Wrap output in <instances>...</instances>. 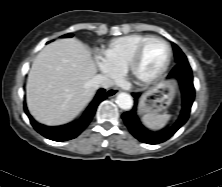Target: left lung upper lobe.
I'll return each mask as SVG.
<instances>
[{
  "mask_svg": "<svg viewBox=\"0 0 222 187\" xmlns=\"http://www.w3.org/2000/svg\"><path fill=\"white\" fill-rule=\"evenodd\" d=\"M172 45H173V49H174L176 64L188 63L187 58H186L185 54L181 51V49L174 43Z\"/></svg>",
  "mask_w": 222,
  "mask_h": 187,
  "instance_id": "5c2ea615",
  "label": "left lung upper lobe"
}]
</instances>
